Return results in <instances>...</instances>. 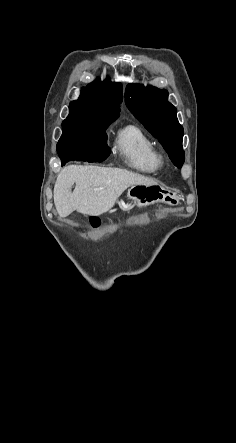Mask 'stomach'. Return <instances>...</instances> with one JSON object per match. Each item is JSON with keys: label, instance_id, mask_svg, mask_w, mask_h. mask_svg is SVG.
Returning <instances> with one entry per match:
<instances>
[{"label": "stomach", "instance_id": "obj_1", "mask_svg": "<svg viewBox=\"0 0 236 443\" xmlns=\"http://www.w3.org/2000/svg\"><path fill=\"white\" fill-rule=\"evenodd\" d=\"M127 198L132 206L145 207L157 202L176 205L175 196L159 185H134L127 193Z\"/></svg>", "mask_w": 236, "mask_h": 443}]
</instances>
